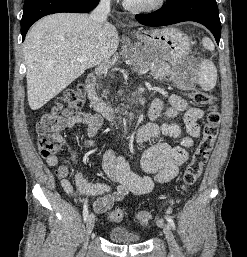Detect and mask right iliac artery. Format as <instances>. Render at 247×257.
Wrapping results in <instances>:
<instances>
[{
    "label": "right iliac artery",
    "mask_w": 247,
    "mask_h": 257,
    "mask_svg": "<svg viewBox=\"0 0 247 257\" xmlns=\"http://www.w3.org/2000/svg\"><path fill=\"white\" fill-rule=\"evenodd\" d=\"M83 218L84 221L87 220L88 218V205H87V200L85 201L84 207H83Z\"/></svg>",
    "instance_id": "obj_1"
}]
</instances>
